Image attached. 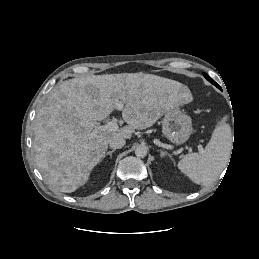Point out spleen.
I'll return each mask as SVG.
<instances>
[{
  "label": "spleen",
  "mask_w": 259,
  "mask_h": 259,
  "mask_svg": "<svg viewBox=\"0 0 259 259\" xmlns=\"http://www.w3.org/2000/svg\"><path fill=\"white\" fill-rule=\"evenodd\" d=\"M224 116L212 133L209 143L199 153L185 155L178 168L194 183H213L227 166L232 149V132Z\"/></svg>",
  "instance_id": "spleen-1"
}]
</instances>
